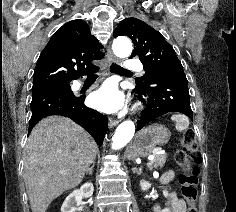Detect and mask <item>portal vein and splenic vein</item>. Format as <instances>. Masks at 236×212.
<instances>
[{"label": "portal vein and splenic vein", "mask_w": 236, "mask_h": 212, "mask_svg": "<svg viewBox=\"0 0 236 212\" xmlns=\"http://www.w3.org/2000/svg\"><path fill=\"white\" fill-rule=\"evenodd\" d=\"M162 153H164V151H163L161 148L155 149V150L153 151V154L150 155V156L148 157V159H149V160H153L156 155L162 154ZM147 166H148V165H147ZM60 173H64V171H60Z\"/></svg>", "instance_id": "obj_1"}]
</instances>
